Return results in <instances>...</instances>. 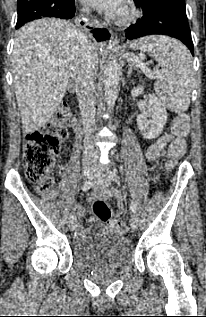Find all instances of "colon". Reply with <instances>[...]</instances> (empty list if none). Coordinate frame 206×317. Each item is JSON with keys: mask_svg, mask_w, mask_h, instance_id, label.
<instances>
[{"mask_svg": "<svg viewBox=\"0 0 206 317\" xmlns=\"http://www.w3.org/2000/svg\"><path fill=\"white\" fill-rule=\"evenodd\" d=\"M71 116L70 109L63 105L51 122L42 129L28 133L25 136L23 164L26 177L41 194H48L53 188L50 173L60 152L61 144L68 136V123ZM189 128V118L186 114L175 116L172 132L176 138L169 147V166H173L175 161L184 155L186 150L184 138L188 135ZM93 212L99 220L110 222L114 232L119 234L128 232V226L124 222H112L111 210L104 201H95Z\"/></svg>", "mask_w": 206, "mask_h": 317, "instance_id": "colon-1", "label": "colon"}]
</instances>
